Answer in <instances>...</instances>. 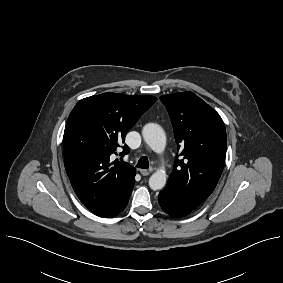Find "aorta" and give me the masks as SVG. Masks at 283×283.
Returning <instances> with one entry per match:
<instances>
[{
  "instance_id": "762f6f07",
  "label": "aorta",
  "mask_w": 283,
  "mask_h": 283,
  "mask_svg": "<svg viewBox=\"0 0 283 283\" xmlns=\"http://www.w3.org/2000/svg\"><path fill=\"white\" fill-rule=\"evenodd\" d=\"M142 136L148 146L156 153H162L166 146V135L161 126L155 123L146 124L142 130ZM166 172L160 169L149 178V187L156 191L166 184Z\"/></svg>"
}]
</instances>
